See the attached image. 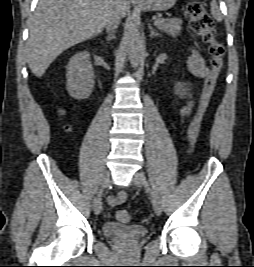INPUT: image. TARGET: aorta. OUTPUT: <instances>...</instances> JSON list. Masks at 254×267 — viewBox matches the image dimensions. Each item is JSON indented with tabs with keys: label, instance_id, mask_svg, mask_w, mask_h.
<instances>
[{
	"label": "aorta",
	"instance_id": "aorta-1",
	"mask_svg": "<svg viewBox=\"0 0 254 267\" xmlns=\"http://www.w3.org/2000/svg\"><path fill=\"white\" fill-rule=\"evenodd\" d=\"M144 51V41L140 33L139 22L133 19L128 33V57L133 68H137L141 62Z\"/></svg>",
	"mask_w": 254,
	"mask_h": 267
}]
</instances>
